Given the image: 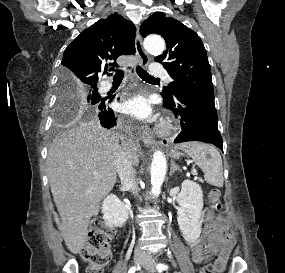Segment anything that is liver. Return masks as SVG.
Masks as SVG:
<instances>
[{"instance_id":"1","label":"liver","mask_w":285,"mask_h":273,"mask_svg":"<svg viewBox=\"0 0 285 273\" xmlns=\"http://www.w3.org/2000/svg\"><path fill=\"white\" fill-rule=\"evenodd\" d=\"M119 136L95 122L83 123L54 140L47 156L48 179L62 223L67 248L78 254L87 240L92 216L114 187V155ZM122 146L134 165L139 164L134 143Z\"/></svg>"}]
</instances>
